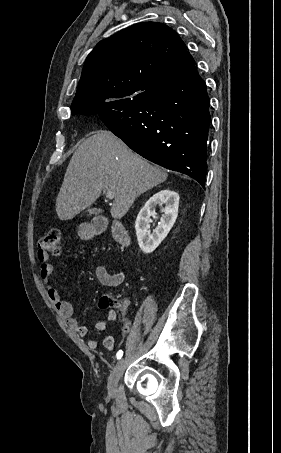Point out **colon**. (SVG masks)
<instances>
[{"label": "colon", "mask_w": 281, "mask_h": 453, "mask_svg": "<svg viewBox=\"0 0 281 453\" xmlns=\"http://www.w3.org/2000/svg\"><path fill=\"white\" fill-rule=\"evenodd\" d=\"M61 230L59 227H48L47 234L41 239L38 261L47 262L62 255Z\"/></svg>", "instance_id": "1"}]
</instances>
